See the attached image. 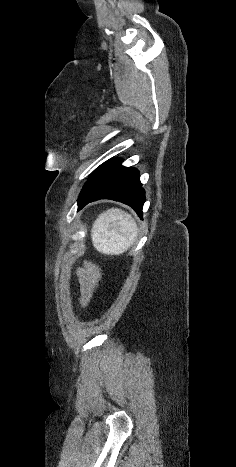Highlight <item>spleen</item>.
I'll list each match as a JSON object with an SVG mask.
<instances>
[{
  "label": "spleen",
  "instance_id": "1",
  "mask_svg": "<svg viewBox=\"0 0 236 467\" xmlns=\"http://www.w3.org/2000/svg\"><path fill=\"white\" fill-rule=\"evenodd\" d=\"M138 227L131 215L120 209H109L94 221L91 237L94 248L103 254L119 255L135 242Z\"/></svg>",
  "mask_w": 236,
  "mask_h": 467
}]
</instances>
